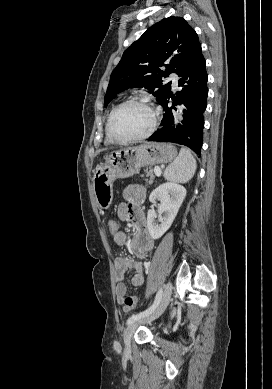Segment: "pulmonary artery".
<instances>
[{"mask_svg": "<svg viewBox=\"0 0 272 389\" xmlns=\"http://www.w3.org/2000/svg\"><path fill=\"white\" fill-rule=\"evenodd\" d=\"M169 79L172 81L173 87L176 88L178 84V75L176 73H171Z\"/></svg>", "mask_w": 272, "mask_h": 389, "instance_id": "obj_1", "label": "pulmonary artery"}]
</instances>
